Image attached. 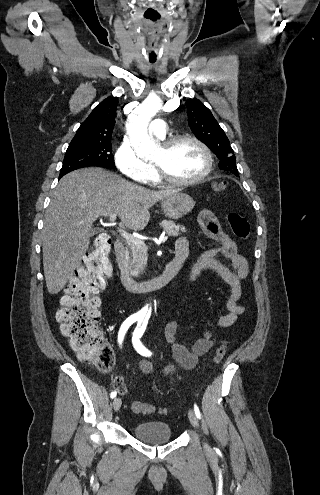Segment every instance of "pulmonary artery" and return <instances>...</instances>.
<instances>
[{"instance_id":"pulmonary-artery-1","label":"pulmonary artery","mask_w":320,"mask_h":495,"mask_svg":"<svg viewBox=\"0 0 320 495\" xmlns=\"http://www.w3.org/2000/svg\"><path fill=\"white\" fill-rule=\"evenodd\" d=\"M149 133L158 138H164L167 133L166 123L162 119H155L149 126Z\"/></svg>"}]
</instances>
